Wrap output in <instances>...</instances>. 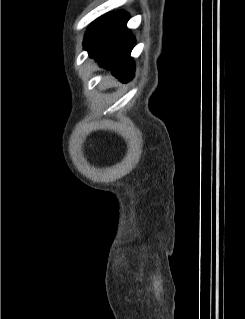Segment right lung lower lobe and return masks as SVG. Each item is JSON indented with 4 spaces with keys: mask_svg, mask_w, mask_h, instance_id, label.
Returning <instances> with one entry per match:
<instances>
[{
    "mask_svg": "<svg viewBox=\"0 0 245 319\" xmlns=\"http://www.w3.org/2000/svg\"><path fill=\"white\" fill-rule=\"evenodd\" d=\"M129 15L117 11L99 24L91 27L84 46L97 57L100 66L110 69L119 80L128 82L134 75L130 52L135 45L134 36L127 29Z\"/></svg>",
    "mask_w": 245,
    "mask_h": 319,
    "instance_id": "1",
    "label": "right lung lower lobe"
}]
</instances>
